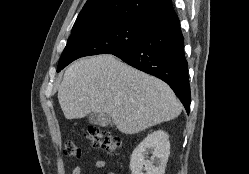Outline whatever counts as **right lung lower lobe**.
<instances>
[{"mask_svg":"<svg viewBox=\"0 0 249 174\" xmlns=\"http://www.w3.org/2000/svg\"><path fill=\"white\" fill-rule=\"evenodd\" d=\"M184 38L177 15L149 21L141 38L121 52L112 53L127 64L165 81L190 110L191 94Z\"/></svg>","mask_w":249,"mask_h":174,"instance_id":"1","label":"right lung lower lobe"}]
</instances>
